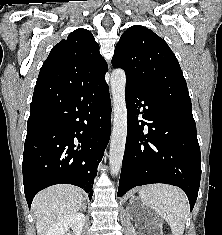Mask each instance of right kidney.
Segmentation results:
<instances>
[{"label": "right kidney", "mask_w": 222, "mask_h": 235, "mask_svg": "<svg viewBox=\"0 0 222 235\" xmlns=\"http://www.w3.org/2000/svg\"><path fill=\"white\" fill-rule=\"evenodd\" d=\"M84 223V214L75 213L53 224L47 235H66L69 227H72L74 235H81Z\"/></svg>", "instance_id": "1"}]
</instances>
